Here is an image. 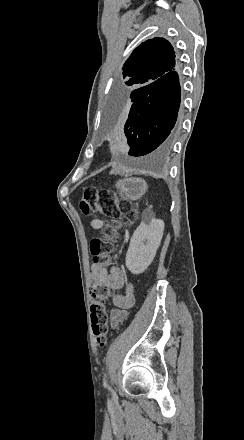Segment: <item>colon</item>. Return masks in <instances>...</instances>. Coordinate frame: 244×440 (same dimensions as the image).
I'll return each mask as SVG.
<instances>
[{
	"mask_svg": "<svg viewBox=\"0 0 244 440\" xmlns=\"http://www.w3.org/2000/svg\"><path fill=\"white\" fill-rule=\"evenodd\" d=\"M80 210L85 216L95 215L104 220L101 233L94 238L89 246V252L93 258L100 262L104 261V254L107 251L111 254L115 249L118 239V226L121 222L131 223L133 214L124 204H118L113 193L104 189L86 188L80 200ZM107 262L114 264L115 258H108ZM110 296L107 287L95 286L91 292V304L89 314L91 330L99 348L107 344L108 323L106 314V302Z\"/></svg>",
	"mask_w": 244,
	"mask_h": 440,
	"instance_id": "1",
	"label": "colon"
}]
</instances>
